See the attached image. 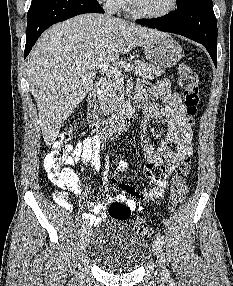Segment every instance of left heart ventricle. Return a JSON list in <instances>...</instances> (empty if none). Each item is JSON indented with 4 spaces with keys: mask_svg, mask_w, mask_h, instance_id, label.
Returning a JSON list of instances; mask_svg holds the SVG:
<instances>
[{
    "mask_svg": "<svg viewBox=\"0 0 233 286\" xmlns=\"http://www.w3.org/2000/svg\"><path fill=\"white\" fill-rule=\"evenodd\" d=\"M136 5L148 13H162L171 6L172 0H134Z\"/></svg>",
    "mask_w": 233,
    "mask_h": 286,
    "instance_id": "b2bd125f",
    "label": "left heart ventricle"
}]
</instances>
